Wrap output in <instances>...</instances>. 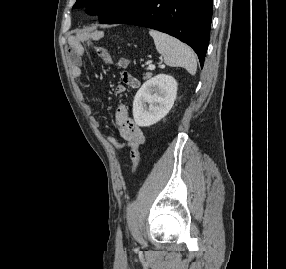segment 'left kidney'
I'll return each instance as SVG.
<instances>
[{"mask_svg":"<svg viewBox=\"0 0 286 269\" xmlns=\"http://www.w3.org/2000/svg\"><path fill=\"white\" fill-rule=\"evenodd\" d=\"M177 86L176 80L166 74H159L147 80L137 91L133 101L136 125L147 127L164 118L176 100Z\"/></svg>","mask_w":286,"mask_h":269,"instance_id":"5707ae66","label":"left kidney"}]
</instances>
